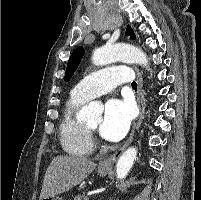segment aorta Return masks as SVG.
Masks as SVG:
<instances>
[{
  "instance_id": "obj_1",
  "label": "aorta",
  "mask_w": 201,
  "mask_h": 200,
  "mask_svg": "<svg viewBox=\"0 0 201 200\" xmlns=\"http://www.w3.org/2000/svg\"><path fill=\"white\" fill-rule=\"evenodd\" d=\"M92 61L97 66L108 65L116 61H125L148 67V58L146 54L141 49L124 43L103 46L94 50ZM82 112L88 119H100V114L95 110L94 102L85 106ZM136 156L137 149L135 147H130L123 152L116 165L117 179L122 180L127 176L136 160Z\"/></svg>"
}]
</instances>
